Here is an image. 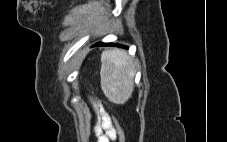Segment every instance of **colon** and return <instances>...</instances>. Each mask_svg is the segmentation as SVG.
<instances>
[{
    "mask_svg": "<svg viewBox=\"0 0 227 142\" xmlns=\"http://www.w3.org/2000/svg\"><path fill=\"white\" fill-rule=\"evenodd\" d=\"M113 138L114 140H117V142H124V133L119 125V123L116 121V119H113Z\"/></svg>",
    "mask_w": 227,
    "mask_h": 142,
    "instance_id": "obj_1",
    "label": "colon"
}]
</instances>
